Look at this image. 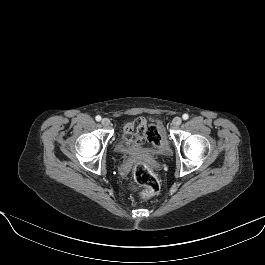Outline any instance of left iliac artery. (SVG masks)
<instances>
[{
  "mask_svg": "<svg viewBox=\"0 0 265 265\" xmlns=\"http://www.w3.org/2000/svg\"><path fill=\"white\" fill-rule=\"evenodd\" d=\"M182 118H183L184 120H187V119L189 118V115L185 113V114H183Z\"/></svg>",
  "mask_w": 265,
  "mask_h": 265,
  "instance_id": "1",
  "label": "left iliac artery"
}]
</instances>
